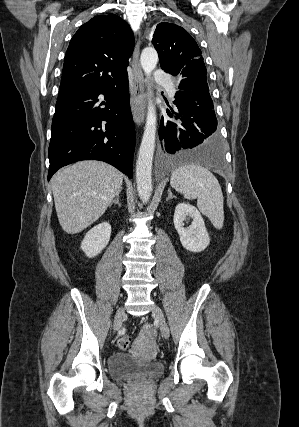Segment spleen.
Instances as JSON below:
<instances>
[{"mask_svg":"<svg viewBox=\"0 0 299 427\" xmlns=\"http://www.w3.org/2000/svg\"><path fill=\"white\" fill-rule=\"evenodd\" d=\"M170 184L186 199H197L199 210L215 228L222 229L224 198L217 178L208 169L196 164L181 166L172 172Z\"/></svg>","mask_w":299,"mask_h":427,"instance_id":"1","label":"spleen"}]
</instances>
